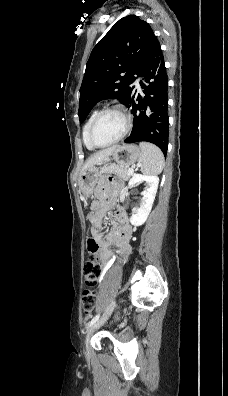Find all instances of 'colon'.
Here are the masks:
<instances>
[{
  "mask_svg": "<svg viewBox=\"0 0 228 396\" xmlns=\"http://www.w3.org/2000/svg\"><path fill=\"white\" fill-rule=\"evenodd\" d=\"M95 215L93 213H89V218L93 221ZM87 248L89 252V259L86 261L84 265V274L86 278V284L91 286L93 285L101 272L100 265L95 260V254L98 249V244L95 240L90 239L87 243ZM97 304V293L95 290L86 289L83 292L82 296V306L83 312L87 315L91 314Z\"/></svg>",
  "mask_w": 228,
  "mask_h": 396,
  "instance_id": "5ec220e1",
  "label": "colon"
}]
</instances>
